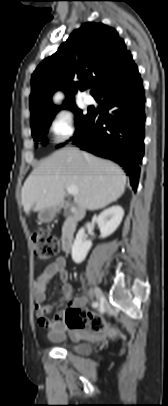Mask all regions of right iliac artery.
Listing matches in <instances>:
<instances>
[{
  "label": "right iliac artery",
  "mask_w": 168,
  "mask_h": 406,
  "mask_svg": "<svg viewBox=\"0 0 168 406\" xmlns=\"http://www.w3.org/2000/svg\"><path fill=\"white\" fill-rule=\"evenodd\" d=\"M93 306H97V303L95 302V303H93Z\"/></svg>",
  "instance_id": "1"
}]
</instances>
